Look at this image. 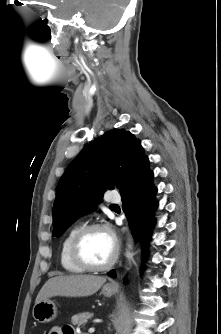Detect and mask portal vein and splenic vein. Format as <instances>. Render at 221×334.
Here are the masks:
<instances>
[{
  "mask_svg": "<svg viewBox=\"0 0 221 334\" xmlns=\"http://www.w3.org/2000/svg\"><path fill=\"white\" fill-rule=\"evenodd\" d=\"M94 331H95V328H94V327H91V328H89V330H88L89 333H93Z\"/></svg>",
  "mask_w": 221,
  "mask_h": 334,
  "instance_id": "1",
  "label": "portal vein and splenic vein"
}]
</instances>
